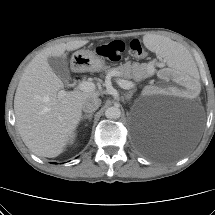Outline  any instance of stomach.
I'll use <instances>...</instances> for the list:
<instances>
[{
  "mask_svg": "<svg viewBox=\"0 0 215 215\" xmlns=\"http://www.w3.org/2000/svg\"><path fill=\"white\" fill-rule=\"evenodd\" d=\"M71 64L74 69L79 71L99 72L106 71L108 68L102 58L92 51L84 49L73 54Z\"/></svg>",
  "mask_w": 215,
  "mask_h": 215,
  "instance_id": "obj_1",
  "label": "stomach"
}]
</instances>
